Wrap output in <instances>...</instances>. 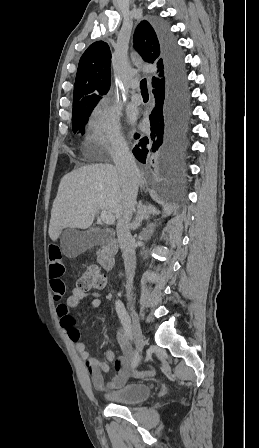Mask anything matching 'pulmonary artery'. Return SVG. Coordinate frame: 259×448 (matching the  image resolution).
I'll return each mask as SVG.
<instances>
[{"mask_svg":"<svg viewBox=\"0 0 259 448\" xmlns=\"http://www.w3.org/2000/svg\"><path fill=\"white\" fill-rule=\"evenodd\" d=\"M139 85H140V84H139V81H137V80H133V81L131 82V84H130V87H131L132 89H136V88L139 87ZM131 101H132L133 103L140 104V103L142 102V97H141L140 95L134 94V95L131 96Z\"/></svg>","mask_w":259,"mask_h":448,"instance_id":"obj_1","label":"pulmonary artery"}]
</instances>
